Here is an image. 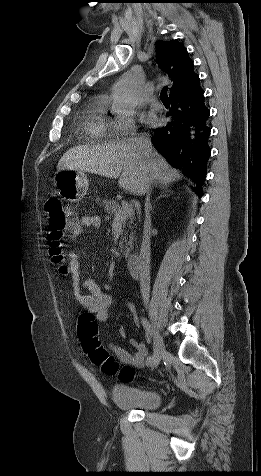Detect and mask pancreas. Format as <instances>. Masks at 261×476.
I'll list each match as a JSON object with an SVG mask.
<instances>
[{"label":"pancreas","instance_id":"1","mask_svg":"<svg viewBox=\"0 0 261 476\" xmlns=\"http://www.w3.org/2000/svg\"><path fill=\"white\" fill-rule=\"evenodd\" d=\"M103 205H104L105 212L110 217H114V218H115L116 214L119 213V211L122 208L120 206V204L115 200L105 199V200H103ZM134 220H135V215L134 214L126 217L125 219H123L122 220L123 228L128 227L132 231V228H133L132 224H133ZM133 240H134L133 232L130 233L129 239H128V231L123 230V236H122L121 241L119 243V247H120L121 252H123V255H125L126 257L129 255V253L131 252V250L133 248V245H132ZM124 242L126 243L125 246L123 244Z\"/></svg>","mask_w":261,"mask_h":476}]
</instances>
